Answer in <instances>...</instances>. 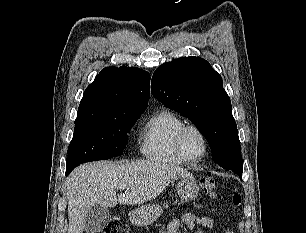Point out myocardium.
<instances>
[{
  "mask_svg": "<svg viewBox=\"0 0 306 233\" xmlns=\"http://www.w3.org/2000/svg\"><path fill=\"white\" fill-rule=\"evenodd\" d=\"M189 130L196 131L203 141V146H204L203 152L197 158H189L186 155V153L184 151V148H183V137H184L185 133ZM175 144H176V150H177L179 156L181 157V159L185 162H188V163H194V162H198V161L202 160L207 155L208 148H209L208 140H207V137H206L205 133L203 132V130L200 127H198L195 124H184L179 129V131L176 135Z\"/></svg>",
  "mask_w": 306,
  "mask_h": 233,
  "instance_id": "1",
  "label": "myocardium"
}]
</instances>
